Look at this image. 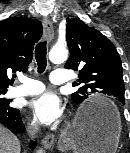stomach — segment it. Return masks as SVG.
<instances>
[{
  "mask_svg": "<svg viewBox=\"0 0 130 153\" xmlns=\"http://www.w3.org/2000/svg\"><path fill=\"white\" fill-rule=\"evenodd\" d=\"M86 108H98L100 112L84 119ZM106 108V110H102ZM121 117L113 102L92 99L83 105L73 121L59 138V148L74 153H116L121 133Z\"/></svg>",
  "mask_w": 130,
  "mask_h": 153,
  "instance_id": "1",
  "label": "stomach"
}]
</instances>
